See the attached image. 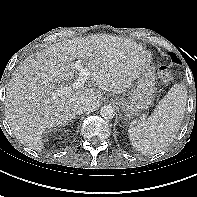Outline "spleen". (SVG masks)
Returning <instances> with one entry per match:
<instances>
[{"label":"spleen","instance_id":"3e777b00","mask_svg":"<svg viewBox=\"0 0 197 197\" xmlns=\"http://www.w3.org/2000/svg\"><path fill=\"white\" fill-rule=\"evenodd\" d=\"M186 101L185 85L175 84L148 118L130 124L128 134L131 144L142 154H154L165 148L179 130Z\"/></svg>","mask_w":197,"mask_h":197}]
</instances>
